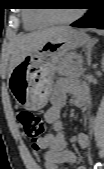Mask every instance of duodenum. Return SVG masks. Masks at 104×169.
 Masks as SVG:
<instances>
[{"label": "duodenum", "mask_w": 104, "mask_h": 169, "mask_svg": "<svg viewBox=\"0 0 104 169\" xmlns=\"http://www.w3.org/2000/svg\"><path fill=\"white\" fill-rule=\"evenodd\" d=\"M77 103H78L79 106H84L85 105V98H79L77 100Z\"/></svg>", "instance_id": "duodenum-1"}]
</instances>
